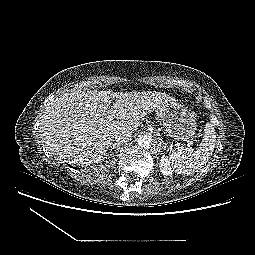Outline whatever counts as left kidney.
Segmentation results:
<instances>
[{"label": "left kidney", "instance_id": "5707ae66", "mask_svg": "<svg viewBox=\"0 0 255 255\" xmlns=\"http://www.w3.org/2000/svg\"><path fill=\"white\" fill-rule=\"evenodd\" d=\"M159 168L161 172L166 176H172L174 171L170 161L165 155H162L159 160Z\"/></svg>", "mask_w": 255, "mask_h": 255}]
</instances>
